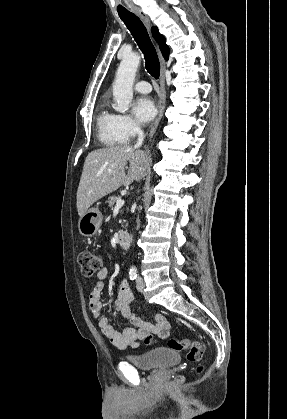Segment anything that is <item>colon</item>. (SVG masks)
<instances>
[{"instance_id": "colon-1", "label": "colon", "mask_w": 287, "mask_h": 419, "mask_svg": "<svg viewBox=\"0 0 287 419\" xmlns=\"http://www.w3.org/2000/svg\"><path fill=\"white\" fill-rule=\"evenodd\" d=\"M79 264L83 275L90 277L103 269V261L99 254L91 250H83L78 257ZM151 337L145 339L149 342ZM168 346L176 351L185 352L186 357L191 362H200L204 357V345L200 342L190 339H176L172 338L168 341ZM201 372L202 368H198Z\"/></svg>"}]
</instances>
